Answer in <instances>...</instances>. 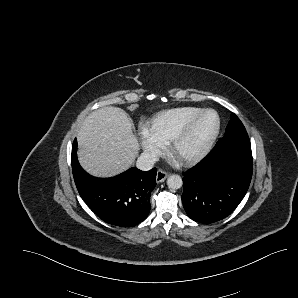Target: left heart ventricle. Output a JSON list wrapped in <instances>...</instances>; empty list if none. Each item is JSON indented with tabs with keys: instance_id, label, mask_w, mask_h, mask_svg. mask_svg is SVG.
Wrapping results in <instances>:
<instances>
[{
	"instance_id": "b2bd125f",
	"label": "left heart ventricle",
	"mask_w": 298,
	"mask_h": 298,
	"mask_svg": "<svg viewBox=\"0 0 298 298\" xmlns=\"http://www.w3.org/2000/svg\"><path fill=\"white\" fill-rule=\"evenodd\" d=\"M215 119L211 114L203 116L191 131L182 139L177 150V157L191 154L211 135L214 130Z\"/></svg>"
}]
</instances>
